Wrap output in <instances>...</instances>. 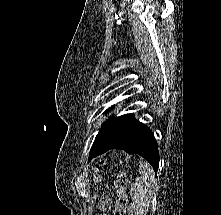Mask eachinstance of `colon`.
I'll use <instances>...</instances> for the list:
<instances>
[{
    "label": "colon",
    "mask_w": 221,
    "mask_h": 215,
    "mask_svg": "<svg viewBox=\"0 0 221 215\" xmlns=\"http://www.w3.org/2000/svg\"><path fill=\"white\" fill-rule=\"evenodd\" d=\"M96 178L98 176L96 175ZM127 179L123 172L116 174L114 179V189L117 193V201L114 204V215H129L127 208ZM112 203L108 198H102L99 203V209L102 212L110 210Z\"/></svg>",
    "instance_id": "colon-1"
}]
</instances>
